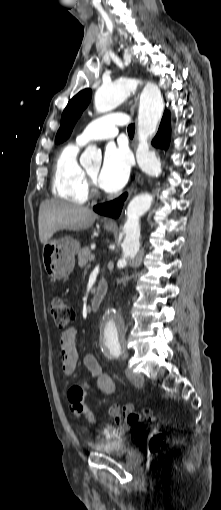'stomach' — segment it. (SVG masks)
<instances>
[{
    "mask_svg": "<svg viewBox=\"0 0 221 510\" xmlns=\"http://www.w3.org/2000/svg\"><path fill=\"white\" fill-rule=\"evenodd\" d=\"M107 231L114 228L105 226ZM80 250V243L71 237L48 241L43 246L42 258L44 268L52 281L61 280L70 275L75 266V255Z\"/></svg>",
    "mask_w": 221,
    "mask_h": 510,
    "instance_id": "stomach-1",
    "label": "stomach"
}]
</instances>
